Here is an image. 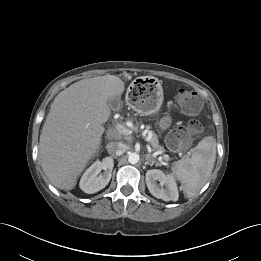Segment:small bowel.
I'll use <instances>...</instances> for the list:
<instances>
[{
  "instance_id": "obj_1",
  "label": "small bowel",
  "mask_w": 261,
  "mask_h": 261,
  "mask_svg": "<svg viewBox=\"0 0 261 261\" xmlns=\"http://www.w3.org/2000/svg\"><path fill=\"white\" fill-rule=\"evenodd\" d=\"M169 124H170V119L168 117H165L162 119L161 126L163 128H167L169 126Z\"/></svg>"
}]
</instances>
